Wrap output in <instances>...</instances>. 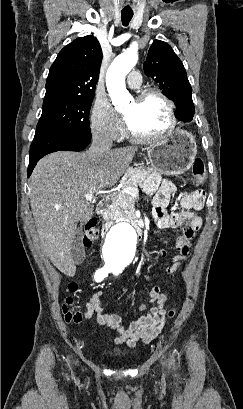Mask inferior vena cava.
I'll use <instances>...</instances> for the list:
<instances>
[{
    "instance_id": "obj_1",
    "label": "inferior vena cava",
    "mask_w": 243,
    "mask_h": 409,
    "mask_svg": "<svg viewBox=\"0 0 243 409\" xmlns=\"http://www.w3.org/2000/svg\"><path fill=\"white\" fill-rule=\"evenodd\" d=\"M112 140L104 134L95 133L92 138V143L88 151L91 158L103 156L111 150Z\"/></svg>"
}]
</instances>
